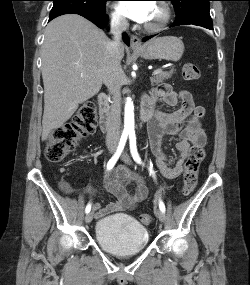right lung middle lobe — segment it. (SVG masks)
Returning <instances> with one entry per match:
<instances>
[{"label":"right lung middle lobe","mask_w":250,"mask_h":285,"mask_svg":"<svg viewBox=\"0 0 250 285\" xmlns=\"http://www.w3.org/2000/svg\"><path fill=\"white\" fill-rule=\"evenodd\" d=\"M50 17H57L74 11L105 12L108 0H52Z\"/></svg>","instance_id":"right-lung-middle-lobe-1"}]
</instances>
